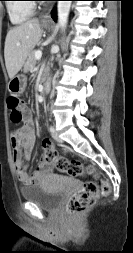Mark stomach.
<instances>
[{
	"instance_id": "0dacf381",
	"label": "stomach",
	"mask_w": 133,
	"mask_h": 253,
	"mask_svg": "<svg viewBox=\"0 0 133 253\" xmlns=\"http://www.w3.org/2000/svg\"><path fill=\"white\" fill-rule=\"evenodd\" d=\"M44 27H48L49 24L43 22ZM27 78L23 74H19L10 79L8 89L13 94H22L26 88Z\"/></svg>"
}]
</instances>
